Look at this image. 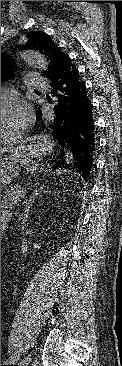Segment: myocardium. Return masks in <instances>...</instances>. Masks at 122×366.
Returning a JSON list of instances; mask_svg holds the SVG:
<instances>
[{
  "mask_svg": "<svg viewBox=\"0 0 122 366\" xmlns=\"http://www.w3.org/2000/svg\"><path fill=\"white\" fill-rule=\"evenodd\" d=\"M13 101L8 99L7 97L1 96V108H9L12 107ZM21 131L20 127L16 129L13 133H11L8 137H1V144L2 145H11L14 143L15 136L19 134Z\"/></svg>",
  "mask_w": 122,
  "mask_h": 366,
  "instance_id": "myocardium-1",
  "label": "myocardium"
}]
</instances>
